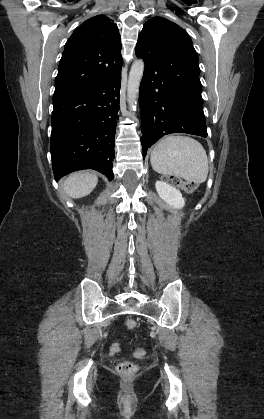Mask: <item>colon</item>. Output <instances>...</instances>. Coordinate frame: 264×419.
I'll return each mask as SVG.
<instances>
[{
	"label": "colon",
	"mask_w": 264,
	"mask_h": 419,
	"mask_svg": "<svg viewBox=\"0 0 264 419\" xmlns=\"http://www.w3.org/2000/svg\"><path fill=\"white\" fill-rule=\"evenodd\" d=\"M165 181L171 185L181 187L186 192H193L196 189L195 183L183 181L179 177L176 176H166ZM126 325L129 329L133 330L137 327V322L134 319H129L126 322ZM134 355L136 357H143L145 355V351L141 348H137L134 351ZM136 365L131 361H124L118 364L117 371L123 376H130L136 371Z\"/></svg>",
	"instance_id": "1"
}]
</instances>
